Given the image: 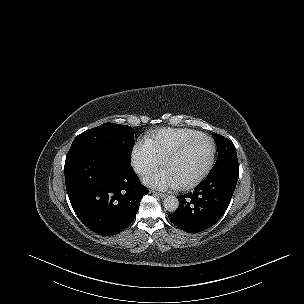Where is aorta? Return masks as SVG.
Returning <instances> with one entry per match:
<instances>
[{
  "mask_svg": "<svg viewBox=\"0 0 304 304\" xmlns=\"http://www.w3.org/2000/svg\"><path fill=\"white\" fill-rule=\"evenodd\" d=\"M179 204V200L175 196H167L163 201L164 208L169 212H175Z\"/></svg>",
  "mask_w": 304,
  "mask_h": 304,
  "instance_id": "1",
  "label": "aorta"
}]
</instances>
